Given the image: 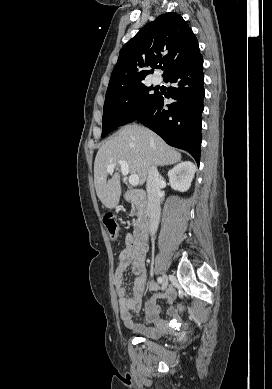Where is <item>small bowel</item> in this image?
Here are the masks:
<instances>
[{
  "label": "small bowel",
  "instance_id": "c3829d8e",
  "mask_svg": "<svg viewBox=\"0 0 272 389\" xmlns=\"http://www.w3.org/2000/svg\"><path fill=\"white\" fill-rule=\"evenodd\" d=\"M146 253V244H136L132 238L127 237L125 247L118 257L114 272V282L120 317L124 326L139 334L150 336L154 329L137 323L132 315V312H138L141 308L143 293L148 281V273L145 265ZM128 267H131L134 274L131 296L127 295L124 288V274ZM151 290H157V286L151 284ZM159 297L160 295L158 294H152L145 304L147 322H152L159 316L160 310L155 304L156 299ZM165 297L171 303L174 299V293L169 291ZM168 312L173 313V309L169 308Z\"/></svg>",
  "mask_w": 272,
  "mask_h": 389
}]
</instances>
